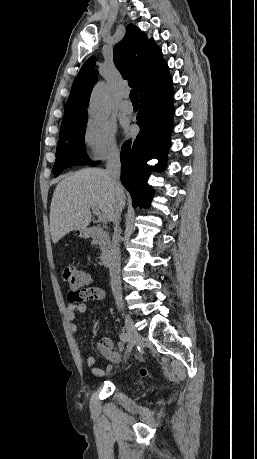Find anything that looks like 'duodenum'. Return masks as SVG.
<instances>
[{"mask_svg":"<svg viewBox=\"0 0 257 459\" xmlns=\"http://www.w3.org/2000/svg\"><path fill=\"white\" fill-rule=\"evenodd\" d=\"M83 237H96L99 239L102 251L100 255V263L102 266H108L110 261V247L112 240L108 234L98 227H88L81 232Z\"/></svg>","mask_w":257,"mask_h":459,"instance_id":"duodenum-1","label":"duodenum"}]
</instances>
